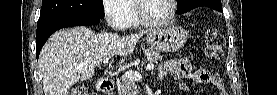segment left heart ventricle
<instances>
[{
  "mask_svg": "<svg viewBox=\"0 0 277 95\" xmlns=\"http://www.w3.org/2000/svg\"><path fill=\"white\" fill-rule=\"evenodd\" d=\"M142 11L150 19H165L170 14V3L168 0H146Z\"/></svg>",
  "mask_w": 277,
  "mask_h": 95,
  "instance_id": "left-heart-ventricle-1",
  "label": "left heart ventricle"
}]
</instances>
